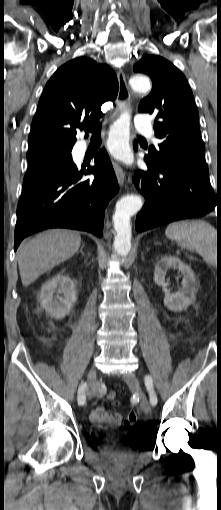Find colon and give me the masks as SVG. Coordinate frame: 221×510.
<instances>
[{"label":"colon","instance_id":"5ec220e1","mask_svg":"<svg viewBox=\"0 0 221 510\" xmlns=\"http://www.w3.org/2000/svg\"><path fill=\"white\" fill-rule=\"evenodd\" d=\"M115 396H116L115 392L114 391H110L108 393L107 397H108L109 400L114 401L115 405H118L119 403L117 401H115ZM136 421H137L136 413L134 411H130L128 413V415L126 416L125 420H124V425L125 426H132V425H134L136 423Z\"/></svg>","mask_w":221,"mask_h":510}]
</instances>
